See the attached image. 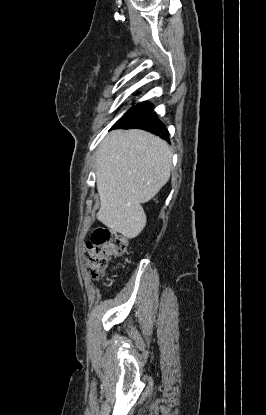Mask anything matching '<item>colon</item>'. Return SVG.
<instances>
[{"label":"colon","instance_id":"5ec220e1","mask_svg":"<svg viewBox=\"0 0 266 415\" xmlns=\"http://www.w3.org/2000/svg\"><path fill=\"white\" fill-rule=\"evenodd\" d=\"M127 245L128 240L125 236L106 228L95 229L85 244L89 275L95 279L101 277L111 259L124 255Z\"/></svg>","mask_w":266,"mask_h":415}]
</instances>
